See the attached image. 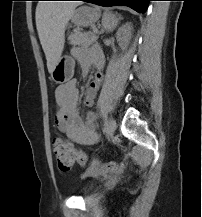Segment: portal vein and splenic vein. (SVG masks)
Instances as JSON below:
<instances>
[{"mask_svg":"<svg viewBox=\"0 0 202 217\" xmlns=\"http://www.w3.org/2000/svg\"><path fill=\"white\" fill-rule=\"evenodd\" d=\"M94 32L98 33V30H97V29H95V30H94Z\"/></svg>","mask_w":202,"mask_h":217,"instance_id":"portal-vein-and-splenic-vein-1","label":"portal vein and splenic vein"}]
</instances>
